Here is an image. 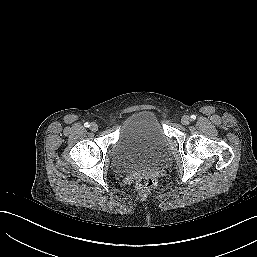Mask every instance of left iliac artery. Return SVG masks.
I'll return each instance as SVG.
<instances>
[{
  "label": "left iliac artery",
  "mask_w": 257,
  "mask_h": 257,
  "mask_svg": "<svg viewBox=\"0 0 257 257\" xmlns=\"http://www.w3.org/2000/svg\"><path fill=\"white\" fill-rule=\"evenodd\" d=\"M191 119H192V120H195V119H196V116H195V115H191Z\"/></svg>",
  "instance_id": "left-iliac-artery-1"
}]
</instances>
